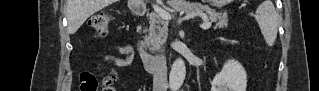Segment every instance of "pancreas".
I'll return each instance as SVG.
<instances>
[{"label":"pancreas","mask_w":319,"mask_h":91,"mask_svg":"<svg viewBox=\"0 0 319 91\" xmlns=\"http://www.w3.org/2000/svg\"><path fill=\"white\" fill-rule=\"evenodd\" d=\"M170 3L172 8L177 12L185 13H202L206 12L209 16V19L215 23L216 28H224L228 24L227 14H222L212 10L207 6H202L199 4H188V5H179L176 3ZM168 35L167 23L156 13L150 14V27L148 29V35L145 36V43L147 44L151 52L159 51L160 46L166 42Z\"/></svg>","instance_id":"pancreas-1"}]
</instances>
